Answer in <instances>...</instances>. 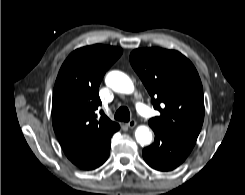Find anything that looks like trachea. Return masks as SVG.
Listing matches in <instances>:
<instances>
[{"label": "trachea", "instance_id": "1", "mask_svg": "<svg viewBox=\"0 0 245 195\" xmlns=\"http://www.w3.org/2000/svg\"><path fill=\"white\" fill-rule=\"evenodd\" d=\"M114 118L119 121L128 122L130 120V112L127 107H120L115 115Z\"/></svg>", "mask_w": 245, "mask_h": 195}]
</instances>
